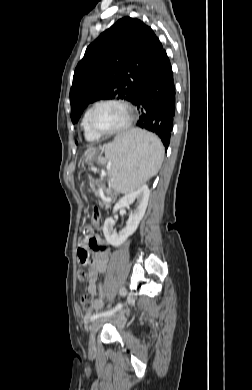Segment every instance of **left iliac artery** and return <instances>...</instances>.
<instances>
[{
	"mask_svg": "<svg viewBox=\"0 0 252 390\" xmlns=\"http://www.w3.org/2000/svg\"><path fill=\"white\" fill-rule=\"evenodd\" d=\"M122 306H123L122 303H118L113 309H111L109 311H104V312H101V313L94 314L93 316H91L90 320L94 321L97 318L110 316V315L114 314L116 311L120 310L122 308Z\"/></svg>",
	"mask_w": 252,
	"mask_h": 390,
	"instance_id": "1",
	"label": "left iliac artery"
}]
</instances>
